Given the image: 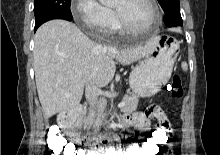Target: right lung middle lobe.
Returning <instances> with one entry per match:
<instances>
[{"instance_id":"dd1d6c3e","label":"right lung middle lobe","mask_w":220,"mask_h":155,"mask_svg":"<svg viewBox=\"0 0 220 155\" xmlns=\"http://www.w3.org/2000/svg\"><path fill=\"white\" fill-rule=\"evenodd\" d=\"M71 0H34V14L36 24L52 17H72L70 11Z\"/></svg>"}]
</instances>
